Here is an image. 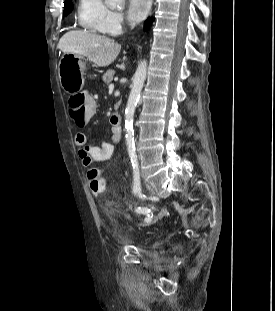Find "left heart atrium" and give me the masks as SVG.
<instances>
[{"mask_svg": "<svg viewBox=\"0 0 275 311\" xmlns=\"http://www.w3.org/2000/svg\"><path fill=\"white\" fill-rule=\"evenodd\" d=\"M150 8V0H128L127 15L131 22L145 18Z\"/></svg>", "mask_w": 275, "mask_h": 311, "instance_id": "left-heart-atrium-1", "label": "left heart atrium"}]
</instances>
